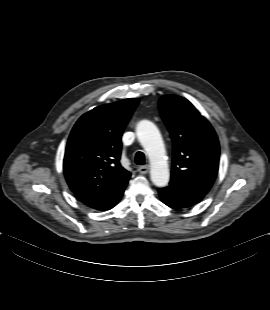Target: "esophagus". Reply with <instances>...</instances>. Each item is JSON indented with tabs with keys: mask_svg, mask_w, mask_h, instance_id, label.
I'll list each match as a JSON object with an SVG mask.
<instances>
[{
	"mask_svg": "<svg viewBox=\"0 0 270 310\" xmlns=\"http://www.w3.org/2000/svg\"><path fill=\"white\" fill-rule=\"evenodd\" d=\"M149 170H150V168L148 165L138 167V172L140 174H147L149 172Z\"/></svg>",
	"mask_w": 270,
	"mask_h": 310,
	"instance_id": "obj_1",
	"label": "esophagus"
}]
</instances>
